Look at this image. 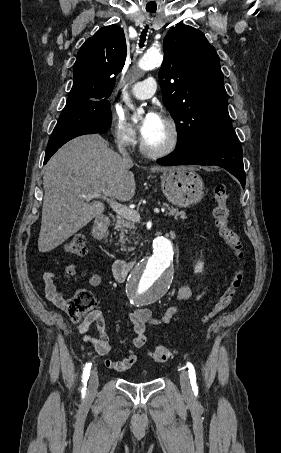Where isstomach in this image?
<instances>
[{"label":"stomach","mask_w":281,"mask_h":453,"mask_svg":"<svg viewBox=\"0 0 281 453\" xmlns=\"http://www.w3.org/2000/svg\"><path fill=\"white\" fill-rule=\"evenodd\" d=\"M161 188L168 200L177 206H191L203 198L204 182L192 166H175L161 176Z\"/></svg>","instance_id":"0dacf381"}]
</instances>
